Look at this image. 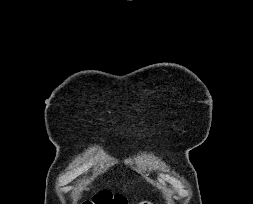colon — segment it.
<instances>
[{
  "instance_id": "obj_1",
  "label": "colon",
  "mask_w": 253,
  "mask_h": 204,
  "mask_svg": "<svg viewBox=\"0 0 253 204\" xmlns=\"http://www.w3.org/2000/svg\"><path fill=\"white\" fill-rule=\"evenodd\" d=\"M82 204H126L122 199L112 195L108 191H100L91 199L84 201Z\"/></svg>"
}]
</instances>
